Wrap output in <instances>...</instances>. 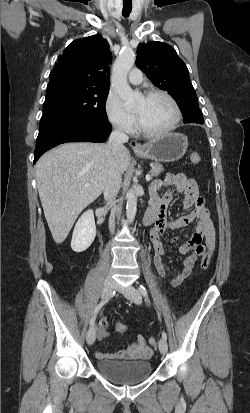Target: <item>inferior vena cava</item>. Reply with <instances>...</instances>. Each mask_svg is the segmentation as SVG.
Listing matches in <instances>:
<instances>
[{
	"mask_svg": "<svg viewBox=\"0 0 250 413\" xmlns=\"http://www.w3.org/2000/svg\"><path fill=\"white\" fill-rule=\"evenodd\" d=\"M128 139L129 137L120 128H116L111 133L108 142L107 153L110 156V169L104 187V198L109 205L113 206L109 218V229L111 232L114 231L115 215L118 212V208L115 206V198L122 182L121 173L113 167V161L117 151L123 147L124 143L128 142Z\"/></svg>",
	"mask_w": 250,
	"mask_h": 413,
	"instance_id": "1",
	"label": "inferior vena cava"
}]
</instances>
